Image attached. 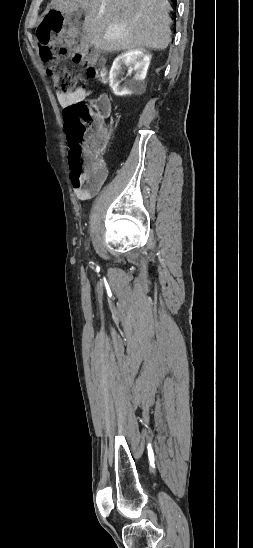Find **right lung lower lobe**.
<instances>
[{
	"mask_svg": "<svg viewBox=\"0 0 253 548\" xmlns=\"http://www.w3.org/2000/svg\"><path fill=\"white\" fill-rule=\"evenodd\" d=\"M173 2V5L176 7L177 6V0H171Z\"/></svg>",
	"mask_w": 253,
	"mask_h": 548,
	"instance_id": "right-lung-lower-lobe-1",
	"label": "right lung lower lobe"
}]
</instances>
